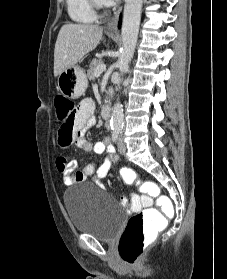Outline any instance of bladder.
<instances>
[{
    "mask_svg": "<svg viewBox=\"0 0 227 279\" xmlns=\"http://www.w3.org/2000/svg\"><path fill=\"white\" fill-rule=\"evenodd\" d=\"M63 203L76 231L91 234L100 241H112L122 230L121 204L114 198L100 195L95 188L80 184L67 189Z\"/></svg>",
    "mask_w": 227,
    "mask_h": 279,
    "instance_id": "bladder-1",
    "label": "bladder"
}]
</instances>
